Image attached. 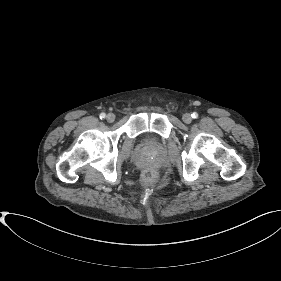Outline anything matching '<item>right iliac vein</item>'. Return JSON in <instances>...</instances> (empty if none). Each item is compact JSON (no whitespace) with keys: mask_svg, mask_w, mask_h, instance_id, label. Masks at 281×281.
Instances as JSON below:
<instances>
[{"mask_svg":"<svg viewBox=\"0 0 281 281\" xmlns=\"http://www.w3.org/2000/svg\"><path fill=\"white\" fill-rule=\"evenodd\" d=\"M106 119L108 122L112 123L114 122L115 120V115L113 113H109L107 116H106Z\"/></svg>","mask_w":281,"mask_h":281,"instance_id":"1","label":"right iliac vein"}]
</instances>
